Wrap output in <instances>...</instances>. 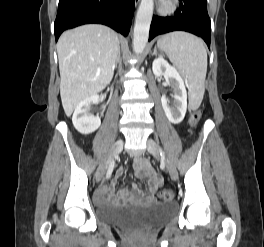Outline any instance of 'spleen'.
I'll use <instances>...</instances> for the list:
<instances>
[{"label": "spleen", "mask_w": 264, "mask_h": 247, "mask_svg": "<svg viewBox=\"0 0 264 247\" xmlns=\"http://www.w3.org/2000/svg\"><path fill=\"white\" fill-rule=\"evenodd\" d=\"M157 46L187 78L191 101L200 104L207 72V51L203 41L186 32H173L161 37Z\"/></svg>", "instance_id": "1"}]
</instances>
